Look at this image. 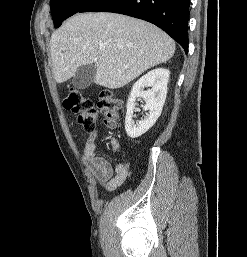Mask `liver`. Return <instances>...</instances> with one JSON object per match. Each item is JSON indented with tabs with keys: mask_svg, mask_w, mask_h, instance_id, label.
Wrapping results in <instances>:
<instances>
[{
	"mask_svg": "<svg viewBox=\"0 0 247 257\" xmlns=\"http://www.w3.org/2000/svg\"><path fill=\"white\" fill-rule=\"evenodd\" d=\"M54 78L63 83L82 65L95 63L94 82L117 89L166 62L175 42L146 21L116 13H84L68 19L50 39Z\"/></svg>",
	"mask_w": 247,
	"mask_h": 257,
	"instance_id": "liver-1",
	"label": "liver"
}]
</instances>
